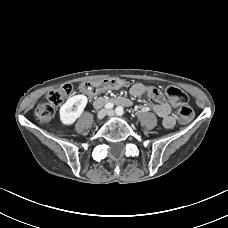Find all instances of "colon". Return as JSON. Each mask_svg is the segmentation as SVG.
<instances>
[{
  "instance_id": "5ec220e1",
  "label": "colon",
  "mask_w": 228,
  "mask_h": 228,
  "mask_svg": "<svg viewBox=\"0 0 228 228\" xmlns=\"http://www.w3.org/2000/svg\"><path fill=\"white\" fill-rule=\"evenodd\" d=\"M73 93L71 84H62L51 90L47 96V101L40 102L35 108V116L41 123L49 122L58 106L62 105ZM170 102L178 106L177 119L180 123L191 121L194 116L192 108L187 104L188 96L180 88L170 86L166 90Z\"/></svg>"
}]
</instances>
